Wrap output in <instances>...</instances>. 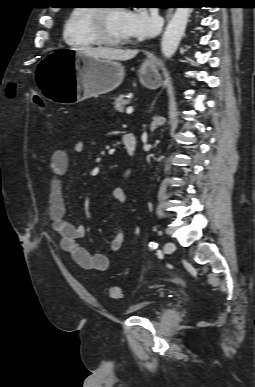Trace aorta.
Masks as SVG:
<instances>
[{
  "label": "aorta",
  "instance_id": "aorta-1",
  "mask_svg": "<svg viewBox=\"0 0 255 387\" xmlns=\"http://www.w3.org/2000/svg\"><path fill=\"white\" fill-rule=\"evenodd\" d=\"M189 13L188 7H177L169 21L161 42V51L165 58L170 59L175 54L185 33Z\"/></svg>",
  "mask_w": 255,
  "mask_h": 387
}]
</instances>
